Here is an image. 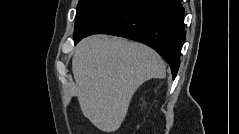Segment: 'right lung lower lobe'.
<instances>
[{
	"instance_id": "obj_1",
	"label": "right lung lower lobe",
	"mask_w": 239,
	"mask_h": 134,
	"mask_svg": "<svg viewBox=\"0 0 239 134\" xmlns=\"http://www.w3.org/2000/svg\"><path fill=\"white\" fill-rule=\"evenodd\" d=\"M184 8L179 0H120L81 37L105 33L142 42L156 50L176 77L185 41Z\"/></svg>"
}]
</instances>
